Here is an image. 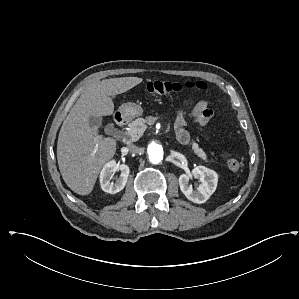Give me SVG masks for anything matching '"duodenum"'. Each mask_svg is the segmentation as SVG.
<instances>
[{
	"instance_id": "duodenum-1",
	"label": "duodenum",
	"mask_w": 299,
	"mask_h": 299,
	"mask_svg": "<svg viewBox=\"0 0 299 299\" xmlns=\"http://www.w3.org/2000/svg\"><path fill=\"white\" fill-rule=\"evenodd\" d=\"M114 118L119 128H123L126 125V117L122 113H115Z\"/></svg>"
}]
</instances>
